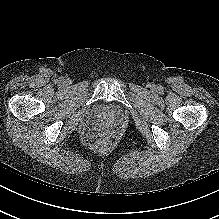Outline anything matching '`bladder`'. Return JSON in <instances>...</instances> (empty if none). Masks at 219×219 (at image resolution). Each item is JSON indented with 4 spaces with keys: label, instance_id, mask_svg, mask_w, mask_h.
Instances as JSON below:
<instances>
[{
    "label": "bladder",
    "instance_id": "1",
    "mask_svg": "<svg viewBox=\"0 0 219 219\" xmlns=\"http://www.w3.org/2000/svg\"><path fill=\"white\" fill-rule=\"evenodd\" d=\"M123 117V109L114 104H102L92 109L88 116L91 127H103L109 123L119 122Z\"/></svg>",
    "mask_w": 219,
    "mask_h": 219
}]
</instances>
